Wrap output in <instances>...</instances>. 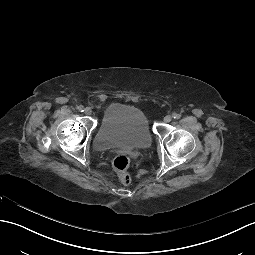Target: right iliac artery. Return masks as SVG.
<instances>
[{"label": "right iliac artery", "instance_id": "right-iliac-artery-1", "mask_svg": "<svg viewBox=\"0 0 255 255\" xmlns=\"http://www.w3.org/2000/svg\"><path fill=\"white\" fill-rule=\"evenodd\" d=\"M78 110H79L80 112H83V111H84V107H83L82 105H80V106H78Z\"/></svg>", "mask_w": 255, "mask_h": 255}]
</instances>
